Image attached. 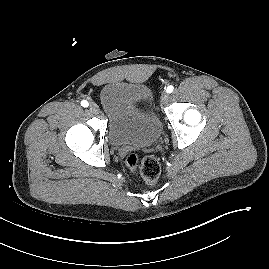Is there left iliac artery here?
<instances>
[{"label":"left iliac artery","mask_w":269,"mask_h":269,"mask_svg":"<svg viewBox=\"0 0 269 269\" xmlns=\"http://www.w3.org/2000/svg\"><path fill=\"white\" fill-rule=\"evenodd\" d=\"M173 90H174V87H173L172 85H169V86L167 87V89H166V92H167V93H171V92H173Z\"/></svg>","instance_id":"left-iliac-artery-1"}]
</instances>
